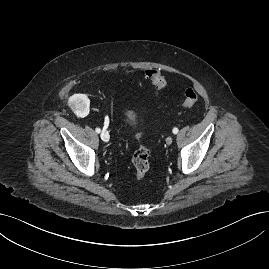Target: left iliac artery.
Instances as JSON below:
<instances>
[{
	"mask_svg": "<svg viewBox=\"0 0 269 269\" xmlns=\"http://www.w3.org/2000/svg\"><path fill=\"white\" fill-rule=\"evenodd\" d=\"M172 132L174 133V134H177L178 133V128H173V130H172Z\"/></svg>",
	"mask_w": 269,
	"mask_h": 269,
	"instance_id": "left-iliac-artery-1",
	"label": "left iliac artery"
}]
</instances>
